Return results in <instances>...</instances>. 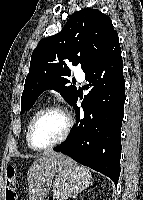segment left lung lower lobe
Masks as SVG:
<instances>
[{
    "instance_id": "obj_1",
    "label": "left lung lower lobe",
    "mask_w": 143,
    "mask_h": 200,
    "mask_svg": "<svg viewBox=\"0 0 143 200\" xmlns=\"http://www.w3.org/2000/svg\"><path fill=\"white\" fill-rule=\"evenodd\" d=\"M86 89L83 110L72 102L76 125L65 143L54 148L82 165L111 178L115 185L120 176L121 126L124 116L125 80L118 35L97 60L84 71Z\"/></svg>"
}]
</instances>
